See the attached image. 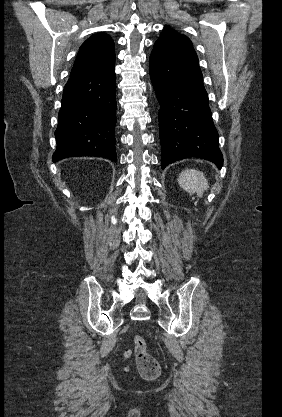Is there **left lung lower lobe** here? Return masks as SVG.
<instances>
[{
  "label": "left lung lower lobe",
  "mask_w": 282,
  "mask_h": 417,
  "mask_svg": "<svg viewBox=\"0 0 282 417\" xmlns=\"http://www.w3.org/2000/svg\"><path fill=\"white\" fill-rule=\"evenodd\" d=\"M149 61L150 78L160 103L162 169L189 157L209 160L221 168L218 132L194 48L156 42Z\"/></svg>",
  "instance_id": "obj_1"
}]
</instances>
